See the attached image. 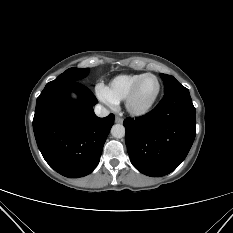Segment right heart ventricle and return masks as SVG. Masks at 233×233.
Here are the masks:
<instances>
[{
    "label": "right heart ventricle",
    "mask_w": 233,
    "mask_h": 233,
    "mask_svg": "<svg viewBox=\"0 0 233 233\" xmlns=\"http://www.w3.org/2000/svg\"><path fill=\"white\" fill-rule=\"evenodd\" d=\"M143 75L144 73L122 74L113 78L107 86L113 100L115 102L124 101L133 85Z\"/></svg>",
    "instance_id": "e07e8e85"
}]
</instances>
